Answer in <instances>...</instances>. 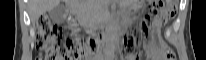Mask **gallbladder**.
Listing matches in <instances>:
<instances>
[{"mask_svg":"<svg viewBox=\"0 0 206 60\" xmlns=\"http://www.w3.org/2000/svg\"><path fill=\"white\" fill-rule=\"evenodd\" d=\"M66 14V6L60 3L58 6L49 11L50 18L55 22H63Z\"/></svg>","mask_w":206,"mask_h":60,"instance_id":"bac80fb5","label":"gallbladder"}]
</instances>
